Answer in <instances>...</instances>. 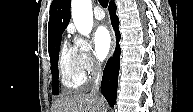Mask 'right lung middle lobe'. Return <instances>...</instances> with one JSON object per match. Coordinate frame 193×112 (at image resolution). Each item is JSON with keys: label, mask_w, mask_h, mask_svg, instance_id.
<instances>
[{"label": "right lung middle lobe", "mask_w": 193, "mask_h": 112, "mask_svg": "<svg viewBox=\"0 0 193 112\" xmlns=\"http://www.w3.org/2000/svg\"><path fill=\"white\" fill-rule=\"evenodd\" d=\"M62 34H60L54 42L49 46V56L51 62V73H52V94L58 95V53L61 43Z\"/></svg>", "instance_id": "1"}]
</instances>
